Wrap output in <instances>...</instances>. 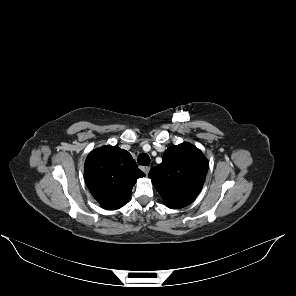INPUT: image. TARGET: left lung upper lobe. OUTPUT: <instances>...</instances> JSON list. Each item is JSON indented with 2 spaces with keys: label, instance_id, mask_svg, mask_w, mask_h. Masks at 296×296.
Masks as SVG:
<instances>
[{
  "label": "left lung upper lobe",
  "instance_id": "5c2ea615",
  "mask_svg": "<svg viewBox=\"0 0 296 296\" xmlns=\"http://www.w3.org/2000/svg\"><path fill=\"white\" fill-rule=\"evenodd\" d=\"M209 163L203 153L189 143L169 147L161 164L149 177L165 205L171 209L189 205L200 193Z\"/></svg>",
  "mask_w": 296,
  "mask_h": 296
}]
</instances>
